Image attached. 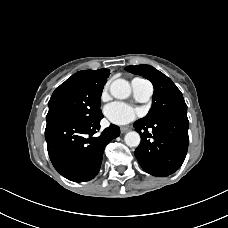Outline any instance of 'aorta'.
Returning <instances> with one entry per match:
<instances>
[{"instance_id":"obj_1","label":"aorta","mask_w":228,"mask_h":228,"mask_svg":"<svg viewBox=\"0 0 228 228\" xmlns=\"http://www.w3.org/2000/svg\"><path fill=\"white\" fill-rule=\"evenodd\" d=\"M110 93L117 99H126L131 94V87L128 81L116 79L110 85ZM124 141L129 147H137L140 144V135L135 131L128 132Z\"/></svg>"}]
</instances>
